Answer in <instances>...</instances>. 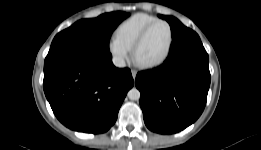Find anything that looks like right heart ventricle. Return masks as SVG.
<instances>
[{"mask_svg":"<svg viewBox=\"0 0 261 150\" xmlns=\"http://www.w3.org/2000/svg\"><path fill=\"white\" fill-rule=\"evenodd\" d=\"M157 19L156 16L147 13L133 14L118 24L114 32L115 37L131 50L144 28Z\"/></svg>","mask_w":261,"mask_h":150,"instance_id":"1","label":"right heart ventricle"}]
</instances>
